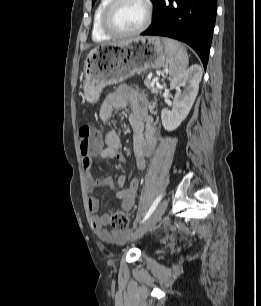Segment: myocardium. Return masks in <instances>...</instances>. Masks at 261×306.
<instances>
[{"mask_svg":"<svg viewBox=\"0 0 261 306\" xmlns=\"http://www.w3.org/2000/svg\"><path fill=\"white\" fill-rule=\"evenodd\" d=\"M123 0H109L108 4L105 6L102 15H101V26L103 30L113 36L119 38L132 37L143 32L150 24L152 18V4L150 0H140V2L145 7V18L144 21L138 26L136 29L132 31H122L114 26L112 23L111 17L115 8L121 3Z\"/></svg>","mask_w":261,"mask_h":306,"instance_id":"obj_1","label":"myocardium"}]
</instances>
